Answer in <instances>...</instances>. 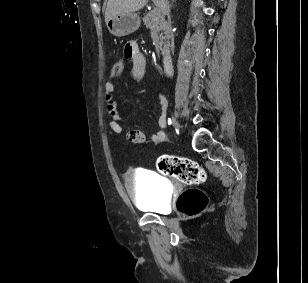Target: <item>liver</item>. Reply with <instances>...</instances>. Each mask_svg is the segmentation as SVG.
Listing matches in <instances>:
<instances>
[{"label":"liver","instance_id":"obj_1","mask_svg":"<svg viewBox=\"0 0 308 283\" xmlns=\"http://www.w3.org/2000/svg\"><path fill=\"white\" fill-rule=\"evenodd\" d=\"M148 0H108L105 11V22L119 14H130L142 9ZM154 4H160L163 11V5L167 0H153Z\"/></svg>","mask_w":308,"mask_h":283}]
</instances>
